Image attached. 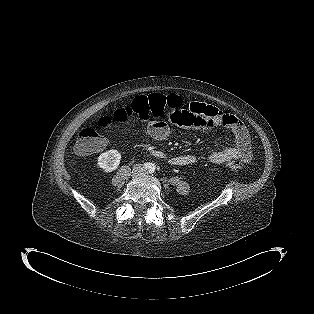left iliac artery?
I'll return each instance as SVG.
<instances>
[{
	"instance_id": "obj_1",
	"label": "left iliac artery",
	"mask_w": 314,
	"mask_h": 314,
	"mask_svg": "<svg viewBox=\"0 0 314 314\" xmlns=\"http://www.w3.org/2000/svg\"><path fill=\"white\" fill-rule=\"evenodd\" d=\"M155 171V167L154 166H151L150 168H149V173H153Z\"/></svg>"
}]
</instances>
